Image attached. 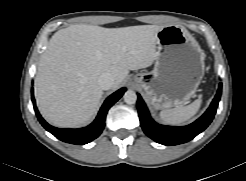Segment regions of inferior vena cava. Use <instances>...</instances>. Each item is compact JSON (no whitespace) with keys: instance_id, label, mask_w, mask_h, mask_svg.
<instances>
[{"instance_id":"inferior-vena-cava-1","label":"inferior vena cava","mask_w":246,"mask_h":181,"mask_svg":"<svg viewBox=\"0 0 246 181\" xmlns=\"http://www.w3.org/2000/svg\"><path fill=\"white\" fill-rule=\"evenodd\" d=\"M98 85L103 90H109L114 86V77L111 73L104 72L98 78Z\"/></svg>"}]
</instances>
